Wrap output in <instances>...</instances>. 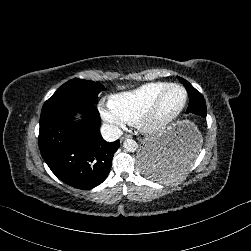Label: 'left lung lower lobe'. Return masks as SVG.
<instances>
[{"label": "left lung lower lobe", "mask_w": 251, "mask_h": 251, "mask_svg": "<svg viewBox=\"0 0 251 251\" xmlns=\"http://www.w3.org/2000/svg\"><path fill=\"white\" fill-rule=\"evenodd\" d=\"M186 113L206 117V103L189 92ZM198 146L195 130H189L179 138L148 143L141 151L138 168L152 182L167 181L181 173L193 160Z\"/></svg>", "instance_id": "0a47b994"}]
</instances>
